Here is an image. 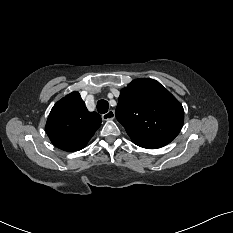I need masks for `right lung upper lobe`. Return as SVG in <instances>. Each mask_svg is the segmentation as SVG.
Segmentation results:
<instances>
[{
  "mask_svg": "<svg viewBox=\"0 0 233 233\" xmlns=\"http://www.w3.org/2000/svg\"><path fill=\"white\" fill-rule=\"evenodd\" d=\"M101 121L98 113L87 110L80 94L72 92L53 106L46 123V132L59 149L77 151L86 146Z\"/></svg>",
  "mask_w": 233,
  "mask_h": 233,
  "instance_id": "cb5924a9",
  "label": "right lung upper lobe"
}]
</instances>
